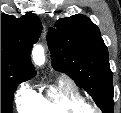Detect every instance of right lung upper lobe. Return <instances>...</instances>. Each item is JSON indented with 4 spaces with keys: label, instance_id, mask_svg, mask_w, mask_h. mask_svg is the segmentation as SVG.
Instances as JSON below:
<instances>
[{
    "label": "right lung upper lobe",
    "instance_id": "obj_1",
    "mask_svg": "<svg viewBox=\"0 0 121 113\" xmlns=\"http://www.w3.org/2000/svg\"><path fill=\"white\" fill-rule=\"evenodd\" d=\"M41 30L39 18L31 12L21 18L1 13V61H6L33 77L36 71L31 64L30 52Z\"/></svg>",
    "mask_w": 121,
    "mask_h": 113
}]
</instances>
